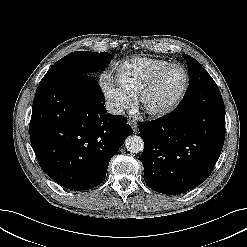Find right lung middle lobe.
I'll use <instances>...</instances> for the list:
<instances>
[{"instance_id":"1","label":"right lung middle lobe","mask_w":247,"mask_h":247,"mask_svg":"<svg viewBox=\"0 0 247 247\" xmlns=\"http://www.w3.org/2000/svg\"><path fill=\"white\" fill-rule=\"evenodd\" d=\"M111 59L112 56L107 52H72L57 61L45 74L43 79H50L56 75L71 72L78 73L79 75H90L92 72L108 66Z\"/></svg>"}]
</instances>
